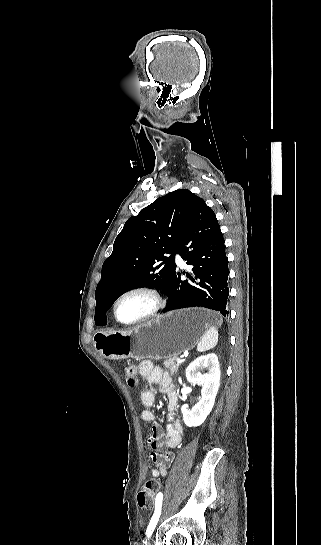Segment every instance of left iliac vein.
<instances>
[{
    "label": "left iliac vein",
    "instance_id": "1",
    "mask_svg": "<svg viewBox=\"0 0 321 545\" xmlns=\"http://www.w3.org/2000/svg\"><path fill=\"white\" fill-rule=\"evenodd\" d=\"M147 545H152V542H151V541H149Z\"/></svg>",
    "mask_w": 321,
    "mask_h": 545
}]
</instances>
